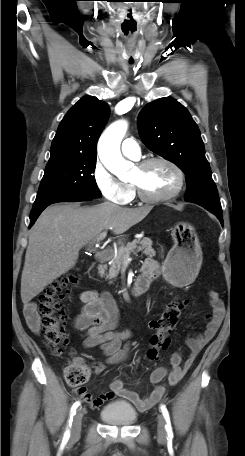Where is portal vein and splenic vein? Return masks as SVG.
Segmentation results:
<instances>
[{
  "mask_svg": "<svg viewBox=\"0 0 245 456\" xmlns=\"http://www.w3.org/2000/svg\"><path fill=\"white\" fill-rule=\"evenodd\" d=\"M106 235H107V232H106V231H103L102 233H100V234L96 237L95 241H96V242H99V241L103 240V239L106 237Z\"/></svg>",
  "mask_w": 245,
  "mask_h": 456,
  "instance_id": "18ae733b",
  "label": "portal vein and splenic vein"
}]
</instances>
